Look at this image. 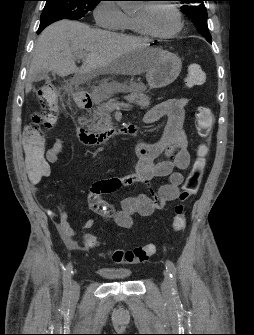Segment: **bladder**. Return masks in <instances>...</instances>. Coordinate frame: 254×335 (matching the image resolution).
Instances as JSON below:
<instances>
[{"instance_id": "1", "label": "bladder", "mask_w": 254, "mask_h": 335, "mask_svg": "<svg viewBox=\"0 0 254 335\" xmlns=\"http://www.w3.org/2000/svg\"><path fill=\"white\" fill-rule=\"evenodd\" d=\"M97 273L108 280H127L132 275L129 270L112 267H100L97 269Z\"/></svg>"}]
</instances>
